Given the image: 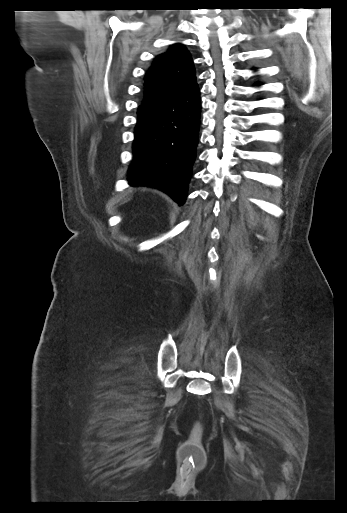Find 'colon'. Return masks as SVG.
Masks as SVG:
<instances>
[{
  "mask_svg": "<svg viewBox=\"0 0 347 513\" xmlns=\"http://www.w3.org/2000/svg\"><path fill=\"white\" fill-rule=\"evenodd\" d=\"M202 429L196 425L190 438L181 449L180 461L185 471L201 468L205 462V454L201 445Z\"/></svg>",
  "mask_w": 347,
  "mask_h": 513,
  "instance_id": "obj_1",
  "label": "colon"
}]
</instances>
